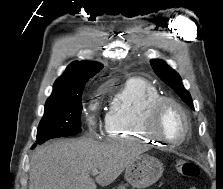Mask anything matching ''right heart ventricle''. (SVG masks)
Wrapping results in <instances>:
<instances>
[{"label":"right heart ventricle","instance_id":"obj_1","mask_svg":"<svg viewBox=\"0 0 223 189\" xmlns=\"http://www.w3.org/2000/svg\"><path fill=\"white\" fill-rule=\"evenodd\" d=\"M160 96L152 84L142 79L128 80L112 97L105 116L107 139L158 143L142 129L148 105Z\"/></svg>","mask_w":223,"mask_h":189}]
</instances>
